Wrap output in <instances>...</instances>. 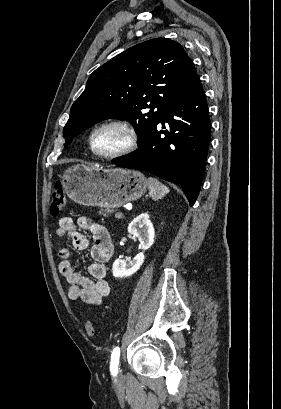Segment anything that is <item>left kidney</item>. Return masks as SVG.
<instances>
[{"instance_id":"left-kidney-1","label":"left kidney","mask_w":281,"mask_h":409,"mask_svg":"<svg viewBox=\"0 0 281 409\" xmlns=\"http://www.w3.org/2000/svg\"><path fill=\"white\" fill-rule=\"evenodd\" d=\"M128 233L140 241L142 253H138L133 261H121V259L114 261L112 265L113 277H120V279L130 277L140 269L145 259L144 251L150 249L154 243L155 231L148 213H141L135 217L128 225Z\"/></svg>"}]
</instances>
